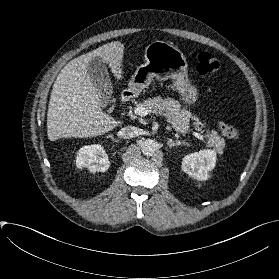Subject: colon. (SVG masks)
Returning a JSON list of instances; mask_svg holds the SVG:
<instances>
[{
    "instance_id": "obj_1",
    "label": "colon",
    "mask_w": 279,
    "mask_h": 279,
    "mask_svg": "<svg viewBox=\"0 0 279 279\" xmlns=\"http://www.w3.org/2000/svg\"><path fill=\"white\" fill-rule=\"evenodd\" d=\"M219 69V61L208 52H201L198 55L196 71L200 75H208ZM221 133L229 139H237L239 137L238 130L226 121L219 122Z\"/></svg>"
}]
</instances>
